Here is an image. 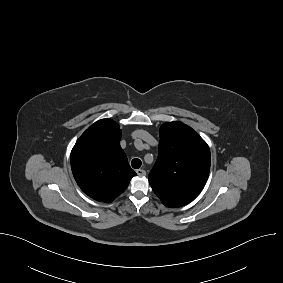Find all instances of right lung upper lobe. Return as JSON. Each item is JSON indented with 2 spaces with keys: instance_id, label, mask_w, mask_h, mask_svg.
<instances>
[{
  "instance_id": "obj_1",
  "label": "right lung upper lobe",
  "mask_w": 283,
  "mask_h": 283,
  "mask_svg": "<svg viewBox=\"0 0 283 283\" xmlns=\"http://www.w3.org/2000/svg\"><path fill=\"white\" fill-rule=\"evenodd\" d=\"M120 138L119 125L111 119H101L82 134L71 151L77 184L97 201L112 202L136 175L120 147Z\"/></svg>"
}]
</instances>
